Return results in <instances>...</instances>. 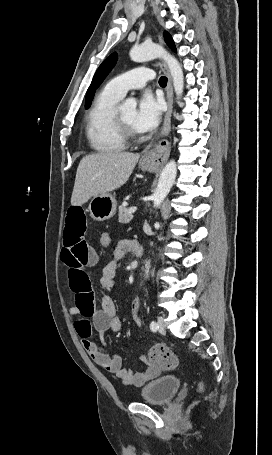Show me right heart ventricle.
<instances>
[{
    "label": "right heart ventricle",
    "instance_id": "right-heart-ventricle-1",
    "mask_svg": "<svg viewBox=\"0 0 272 455\" xmlns=\"http://www.w3.org/2000/svg\"><path fill=\"white\" fill-rule=\"evenodd\" d=\"M121 97L104 88L87 112L85 133L91 149L98 153H118L126 148L115 126V112Z\"/></svg>",
    "mask_w": 272,
    "mask_h": 455
}]
</instances>
